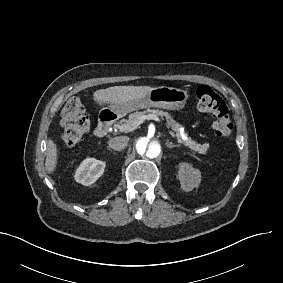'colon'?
Segmentation results:
<instances>
[{"label": "colon", "instance_id": "5ec220e1", "mask_svg": "<svg viewBox=\"0 0 283 283\" xmlns=\"http://www.w3.org/2000/svg\"><path fill=\"white\" fill-rule=\"evenodd\" d=\"M197 106L213 119V129L218 137H227L232 132L229 108L222 97L211 87L201 85L196 91ZM61 138L67 147H74L90 124L85 108L79 99H70L61 112Z\"/></svg>", "mask_w": 283, "mask_h": 283}]
</instances>
